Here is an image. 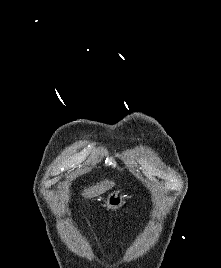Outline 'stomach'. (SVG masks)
I'll return each mask as SVG.
<instances>
[{
  "label": "stomach",
  "mask_w": 221,
  "mask_h": 268,
  "mask_svg": "<svg viewBox=\"0 0 221 268\" xmlns=\"http://www.w3.org/2000/svg\"><path fill=\"white\" fill-rule=\"evenodd\" d=\"M127 195L123 190L112 191L104 199V206L111 210L120 208L125 203Z\"/></svg>",
  "instance_id": "1"
}]
</instances>
